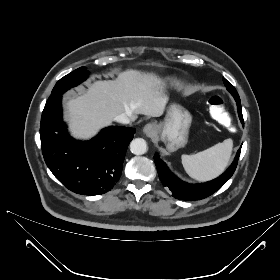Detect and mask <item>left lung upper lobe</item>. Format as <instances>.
Listing matches in <instances>:
<instances>
[{
	"instance_id": "1",
	"label": "left lung upper lobe",
	"mask_w": 280,
	"mask_h": 280,
	"mask_svg": "<svg viewBox=\"0 0 280 280\" xmlns=\"http://www.w3.org/2000/svg\"><path fill=\"white\" fill-rule=\"evenodd\" d=\"M224 81V85L226 86L227 90L233 95L234 98H239V95L236 91V89L234 88V86L228 82L226 79H223Z\"/></svg>"
}]
</instances>
